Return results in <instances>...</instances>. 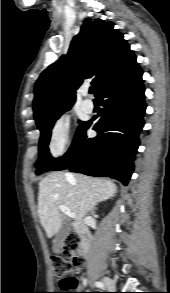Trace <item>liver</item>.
I'll use <instances>...</instances> for the list:
<instances>
[{"mask_svg": "<svg viewBox=\"0 0 170 293\" xmlns=\"http://www.w3.org/2000/svg\"><path fill=\"white\" fill-rule=\"evenodd\" d=\"M116 192L117 186L107 179L64 172L47 175L39 183L38 214L48 238L62 226L60 205L75 214L72 226L77 230L97 203L113 197Z\"/></svg>", "mask_w": 170, "mask_h": 293, "instance_id": "1", "label": "liver"}]
</instances>
